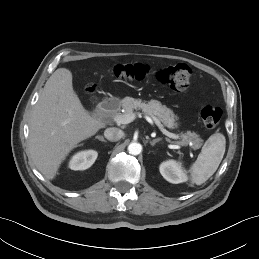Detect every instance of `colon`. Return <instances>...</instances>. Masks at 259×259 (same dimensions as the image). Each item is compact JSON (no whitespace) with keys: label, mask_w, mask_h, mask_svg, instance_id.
<instances>
[{"label":"colon","mask_w":259,"mask_h":259,"mask_svg":"<svg viewBox=\"0 0 259 259\" xmlns=\"http://www.w3.org/2000/svg\"><path fill=\"white\" fill-rule=\"evenodd\" d=\"M149 73L150 68L141 63L118 64L113 68L114 76L122 80L141 81ZM191 75V69L185 64L164 67L155 73V77L160 83L169 86L174 91L185 90L190 83ZM200 116L204 126L213 129L218 125L222 112L219 107L207 105L202 108Z\"/></svg>","instance_id":"1"}]
</instances>
